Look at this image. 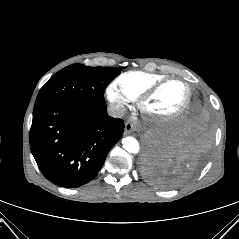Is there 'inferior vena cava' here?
<instances>
[{
  "label": "inferior vena cava",
  "mask_w": 239,
  "mask_h": 239,
  "mask_svg": "<svg viewBox=\"0 0 239 239\" xmlns=\"http://www.w3.org/2000/svg\"><path fill=\"white\" fill-rule=\"evenodd\" d=\"M108 114L114 118H121L125 114L124 106L111 105L108 107Z\"/></svg>",
  "instance_id": "inferior-vena-cava-1"
}]
</instances>
